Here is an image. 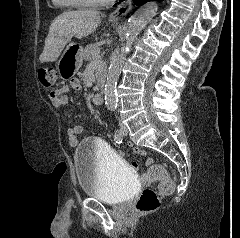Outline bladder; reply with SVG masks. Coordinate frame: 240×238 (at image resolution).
<instances>
[{
    "label": "bladder",
    "instance_id": "1",
    "mask_svg": "<svg viewBox=\"0 0 240 238\" xmlns=\"http://www.w3.org/2000/svg\"><path fill=\"white\" fill-rule=\"evenodd\" d=\"M73 161L81 190L104 203H124L138 188L133 169L102 140L88 138L82 141Z\"/></svg>",
    "mask_w": 240,
    "mask_h": 238
}]
</instances>
